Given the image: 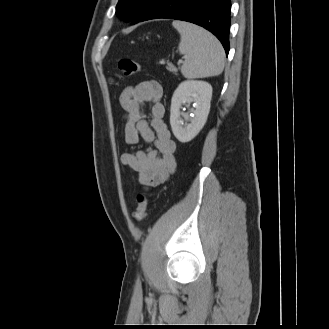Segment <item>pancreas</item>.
I'll return each mask as SVG.
<instances>
[{"label": "pancreas", "mask_w": 329, "mask_h": 329, "mask_svg": "<svg viewBox=\"0 0 329 329\" xmlns=\"http://www.w3.org/2000/svg\"><path fill=\"white\" fill-rule=\"evenodd\" d=\"M167 70L170 72H173L174 74H177V68L173 66L172 64H168Z\"/></svg>", "instance_id": "cf45deb5"}]
</instances>
